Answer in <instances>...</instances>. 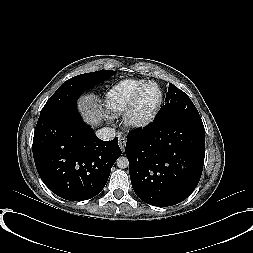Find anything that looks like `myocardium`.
<instances>
[{
    "label": "myocardium",
    "mask_w": 253,
    "mask_h": 253,
    "mask_svg": "<svg viewBox=\"0 0 253 253\" xmlns=\"http://www.w3.org/2000/svg\"><path fill=\"white\" fill-rule=\"evenodd\" d=\"M149 85H154L158 88L160 92V99L156 107L151 111V113H149L147 116L142 117L138 115L140 99H141V95L143 91ZM163 102H164V92L162 88L160 87V85L156 83L155 81H146L137 89L131 103L129 104L128 108L125 110L124 119H125L126 124L136 129L147 127L155 120L160 109L162 108Z\"/></svg>",
    "instance_id": "f54148a6"
}]
</instances>
